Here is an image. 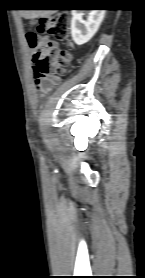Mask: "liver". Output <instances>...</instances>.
I'll list each match as a JSON object with an SVG mask.
<instances>
[{
    "mask_svg": "<svg viewBox=\"0 0 145 278\" xmlns=\"http://www.w3.org/2000/svg\"><path fill=\"white\" fill-rule=\"evenodd\" d=\"M20 11H21V15L26 19L48 17L55 12V10H20Z\"/></svg>",
    "mask_w": 145,
    "mask_h": 278,
    "instance_id": "obj_1",
    "label": "liver"
}]
</instances>
